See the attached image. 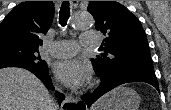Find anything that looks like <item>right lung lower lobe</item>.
<instances>
[{"instance_id":"obj_1","label":"right lung lower lobe","mask_w":171,"mask_h":110,"mask_svg":"<svg viewBox=\"0 0 171 110\" xmlns=\"http://www.w3.org/2000/svg\"><path fill=\"white\" fill-rule=\"evenodd\" d=\"M29 71H31L32 73H34L43 83L44 85L48 88V89H52V83L50 80V77L48 75V70L47 71H39V70H34V69H27ZM56 96L58 97L59 102L61 103L62 100L64 99V95L56 92Z\"/></svg>"}]
</instances>
